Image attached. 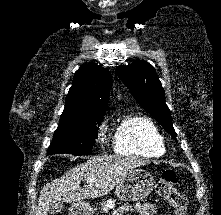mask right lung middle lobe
Wrapping results in <instances>:
<instances>
[{
  "label": "right lung middle lobe",
  "mask_w": 221,
  "mask_h": 215,
  "mask_svg": "<svg viewBox=\"0 0 221 215\" xmlns=\"http://www.w3.org/2000/svg\"><path fill=\"white\" fill-rule=\"evenodd\" d=\"M103 116L93 117L81 114H62L48 154L68 153L84 155L89 153L97 138L98 127Z\"/></svg>",
  "instance_id": "right-lung-middle-lobe-1"
}]
</instances>
